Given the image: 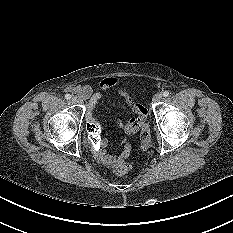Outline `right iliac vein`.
I'll use <instances>...</instances> for the list:
<instances>
[{
    "instance_id": "obj_1",
    "label": "right iliac vein",
    "mask_w": 233,
    "mask_h": 233,
    "mask_svg": "<svg viewBox=\"0 0 233 233\" xmlns=\"http://www.w3.org/2000/svg\"><path fill=\"white\" fill-rule=\"evenodd\" d=\"M72 102H73V103H81V102H82V99H81V97H79V96H73V97H72Z\"/></svg>"
}]
</instances>
